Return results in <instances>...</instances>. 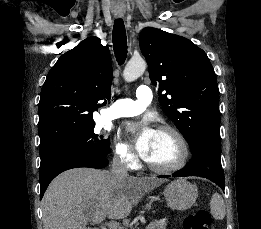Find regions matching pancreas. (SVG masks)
Here are the masks:
<instances>
[{"mask_svg": "<svg viewBox=\"0 0 261 229\" xmlns=\"http://www.w3.org/2000/svg\"><path fill=\"white\" fill-rule=\"evenodd\" d=\"M155 227L153 229H166L167 223L165 219H161V221H154Z\"/></svg>", "mask_w": 261, "mask_h": 229, "instance_id": "1", "label": "pancreas"}]
</instances>
